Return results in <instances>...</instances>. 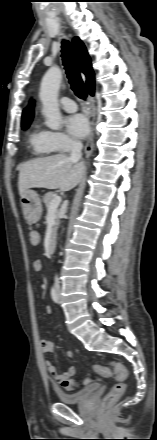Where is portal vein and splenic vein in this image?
Segmentation results:
<instances>
[{"label":"portal vein and splenic vein","mask_w":157,"mask_h":440,"mask_svg":"<svg viewBox=\"0 0 157 440\" xmlns=\"http://www.w3.org/2000/svg\"><path fill=\"white\" fill-rule=\"evenodd\" d=\"M61 200L62 199L60 196L55 197L52 200V202L50 203L49 211H55L58 208V206L60 205Z\"/></svg>","instance_id":"obj_1"}]
</instances>
